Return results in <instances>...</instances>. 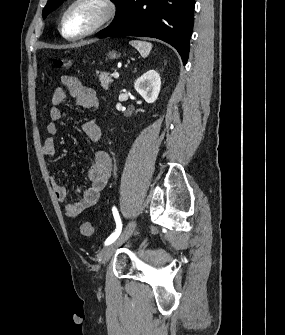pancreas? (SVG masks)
<instances>
[{
    "instance_id": "pancreas-1",
    "label": "pancreas",
    "mask_w": 285,
    "mask_h": 335,
    "mask_svg": "<svg viewBox=\"0 0 285 335\" xmlns=\"http://www.w3.org/2000/svg\"><path fill=\"white\" fill-rule=\"evenodd\" d=\"M96 74L103 90H109V86L113 82L109 72H96Z\"/></svg>"
}]
</instances>
